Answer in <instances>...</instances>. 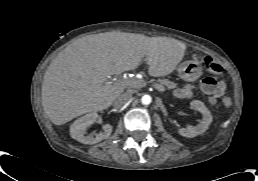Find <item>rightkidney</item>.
Segmentation results:
<instances>
[{"label": "right kidney", "mask_w": 258, "mask_h": 181, "mask_svg": "<svg viewBox=\"0 0 258 181\" xmlns=\"http://www.w3.org/2000/svg\"><path fill=\"white\" fill-rule=\"evenodd\" d=\"M98 121V114L93 112L86 114L73 122L70 127V135L73 139L83 143V144H96L104 139H107L112 133V125L105 124L103 126V132L99 134H89L85 135L86 129L92 124Z\"/></svg>", "instance_id": "1"}]
</instances>
